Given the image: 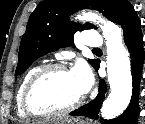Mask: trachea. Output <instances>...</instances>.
Returning a JSON list of instances; mask_svg holds the SVG:
<instances>
[{"instance_id": "obj_1", "label": "trachea", "mask_w": 145, "mask_h": 124, "mask_svg": "<svg viewBox=\"0 0 145 124\" xmlns=\"http://www.w3.org/2000/svg\"><path fill=\"white\" fill-rule=\"evenodd\" d=\"M93 50L96 51V50H100V49L99 48H94Z\"/></svg>"}]
</instances>
